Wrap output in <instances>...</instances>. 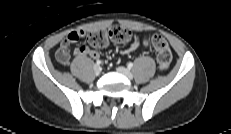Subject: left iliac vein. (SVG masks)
<instances>
[{
  "label": "left iliac vein",
  "mask_w": 231,
  "mask_h": 134,
  "mask_svg": "<svg viewBox=\"0 0 231 134\" xmlns=\"http://www.w3.org/2000/svg\"><path fill=\"white\" fill-rule=\"evenodd\" d=\"M117 72H119L120 74L124 75L125 77H127L128 79H133V74L131 73L130 70H128L125 67H118L117 68Z\"/></svg>",
  "instance_id": "1"
}]
</instances>
